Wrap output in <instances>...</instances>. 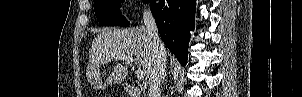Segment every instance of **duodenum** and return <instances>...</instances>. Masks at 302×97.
<instances>
[{
  "instance_id": "410a0bca",
  "label": "duodenum",
  "mask_w": 302,
  "mask_h": 97,
  "mask_svg": "<svg viewBox=\"0 0 302 97\" xmlns=\"http://www.w3.org/2000/svg\"><path fill=\"white\" fill-rule=\"evenodd\" d=\"M124 88L130 97H142V91L140 87L125 83Z\"/></svg>"
}]
</instances>
